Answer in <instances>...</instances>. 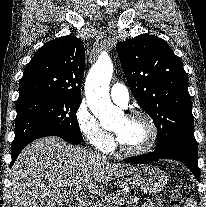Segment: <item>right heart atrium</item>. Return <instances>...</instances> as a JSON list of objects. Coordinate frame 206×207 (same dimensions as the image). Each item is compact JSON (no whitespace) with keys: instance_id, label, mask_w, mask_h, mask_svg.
Here are the masks:
<instances>
[{"instance_id":"d8ad5b80","label":"right heart atrium","mask_w":206,"mask_h":207,"mask_svg":"<svg viewBox=\"0 0 206 207\" xmlns=\"http://www.w3.org/2000/svg\"><path fill=\"white\" fill-rule=\"evenodd\" d=\"M75 120L80 133L91 146L103 152H111L114 149L113 135L102 127L85 101L78 105Z\"/></svg>"}]
</instances>
